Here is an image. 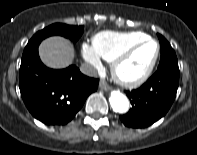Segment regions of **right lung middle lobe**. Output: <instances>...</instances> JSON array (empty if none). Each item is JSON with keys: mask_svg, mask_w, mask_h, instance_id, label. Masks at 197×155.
<instances>
[{"mask_svg": "<svg viewBox=\"0 0 197 155\" xmlns=\"http://www.w3.org/2000/svg\"><path fill=\"white\" fill-rule=\"evenodd\" d=\"M84 31V26H71L62 23L52 24L43 30L38 31L26 45L22 58L28 56L31 52L38 49L41 41L49 36L61 35L76 42Z\"/></svg>", "mask_w": 197, "mask_h": 155, "instance_id": "dd1d6c3e", "label": "right lung middle lobe"}]
</instances>
